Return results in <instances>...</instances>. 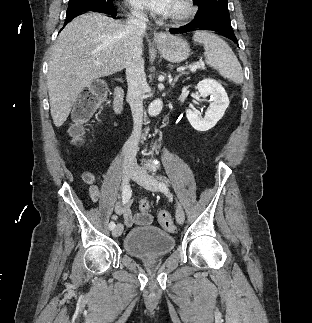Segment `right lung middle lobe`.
Masks as SVG:
<instances>
[{"label":"right lung middle lobe","mask_w":312,"mask_h":323,"mask_svg":"<svg viewBox=\"0 0 312 323\" xmlns=\"http://www.w3.org/2000/svg\"><path fill=\"white\" fill-rule=\"evenodd\" d=\"M112 8H114L112 0H69L66 17L86 10Z\"/></svg>","instance_id":"right-lung-middle-lobe-1"}]
</instances>
